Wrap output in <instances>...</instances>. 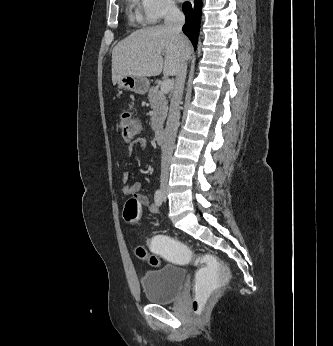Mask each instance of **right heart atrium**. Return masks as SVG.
<instances>
[{"label":"right heart atrium","mask_w":333,"mask_h":346,"mask_svg":"<svg viewBox=\"0 0 333 346\" xmlns=\"http://www.w3.org/2000/svg\"><path fill=\"white\" fill-rule=\"evenodd\" d=\"M147 23L154 24L178 13L175 0H140Z\"/></svg>","instance_id":"obj_1"}]
</instances>
